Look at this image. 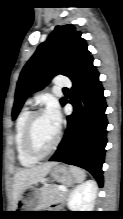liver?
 Here are the masks:
<instances>
[{"label":"liver","mask_w":123,"mask_h":219,"mask_svg":"<svg viewBox=\"0 0 123 219\" xmlns=\"http://www.w3.org/2000/svg\"><path fill=\"white\" fill-rule=\"evenodd\" d=\"M57 164L56 162H46L38 166L21 169L14 175L12 191V207L15 208L22 194L33 184L40 182Z\"/></svg>","instance_id":"liver-1"}]
</instances>
